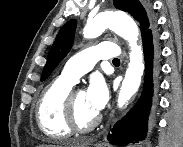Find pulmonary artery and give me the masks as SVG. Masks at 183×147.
<instances>
[{
    "instance_id": "pulmonary-artery-1",
    "label": "pulmonary artery",
    "mask_w": 183,
    "mask_h": 147,
    "mask_svg": "<svg viewBox=\"0 0 183 147\" xmlns=\"http://www.w3.org/2000/svg\"><path fill=\"white\" fill-rule=\"evenodd\" d=\"M120 55L121 50L116 44L102 42L74 55L62 69L61 77L76 83L81 76L93 69L98 60L118 58Z\"/></svg>"
}]
</instances>
